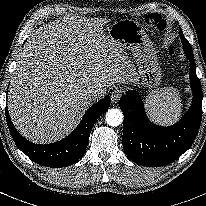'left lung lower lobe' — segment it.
Masks as SVG:
<instances>
[{"instance_id": "1", "label": "left lung lower lobe", "mask_w": 206, "mask_h": 206, "mask_svg": "<svg viewBox=\"0 0 206 206\" xmlns=\"http://www.w3.org/2000/svg\"><path fill=\"white\" fill-rule=\"evenodd\" d=\"M181 39L186 40L182 32ZM190 61V84L193 102L183 118L173 126L161 127L149 121L143 102L135 91H128L119 101L124 114L123 148L133 162L157 167L179 158L193 144L202 119V89L196 75L192 51L184 48Z\"/></svg>"}]
</instances>
